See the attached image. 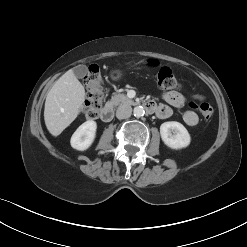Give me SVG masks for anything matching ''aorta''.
<instances>
[{"label":"aorta","mask_w":247,"mask_h":247,"mask_svg":"<svg viewBox=\"0 0 247 247\" xmlns=\"http://www.w3.org/2000/svg\"><path fill=\"white\" fill-rule=\"evenodd\" d=\"M135 117H142L145 113L144 108L142 106H136L133 110Z\"/></svg>","instance_id":"aorta-1"}]
</instances>
